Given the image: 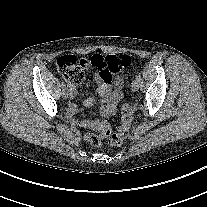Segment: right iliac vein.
Wrapping results in <instances>:
<instances>
[{
	"instance_id": "right-iliac-vein-1",
	"label": "right iliac vein",
	"mask_w": 207,
	"mask_h": 207,
	"mask_svg": "<svg viewBox=\"0 0 207 207\" xmlns=\"http://www.w3.org/2000/svg\"><path fill=\"white\" fill-rule=\"evenodd\" d=\"M69 96H70V92H69V90H68L67 88H64V89L62 90V97H63L64 99H68Z\"/></svg>"
}]
</instances>
